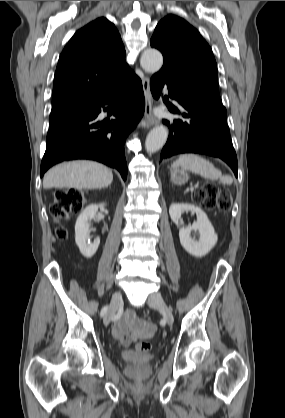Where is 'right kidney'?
<instances>
[{
  "label": "right kidney",
  "instance_id": "ca27d5eb",
  "mask_svg": "<svg viewBox=\"0 0 285 418\" xmlns=\"http://www.w3.org/2000/svg\"><path fill=\"white\" fill-rule=\"evenodd\" d=\"M105 204H92L86 207L78 216L75 224V242L79 247L81 254L86 258H91L97 251L100 239L93 243L89 240L90 222L95 218L98 208H103Z\"/></svg>",
  "mask_w": 285,
  "mask_h": 418
}]
</instances>
